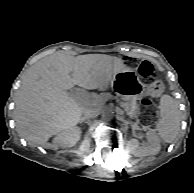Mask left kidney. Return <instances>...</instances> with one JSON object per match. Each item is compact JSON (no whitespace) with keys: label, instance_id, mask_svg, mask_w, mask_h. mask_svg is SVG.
<instances>
[{"label":"left kidney","instance_id":"5707ae66","mask_svg":"<svg viewBox=\"0 0 194 193\" xmlns=\"http://www.w3.org/2000/svg\"><path fill=\"white\" fill-rule=\"evenodd\" d=\"M147 144L140 146L137 139L128 141L130 152L136 157H145L149 155H156L161 149L160 138L154 131H148L146 134Z\"/></svg>","mask_w":194,"mask_h":193}]
</instances>
